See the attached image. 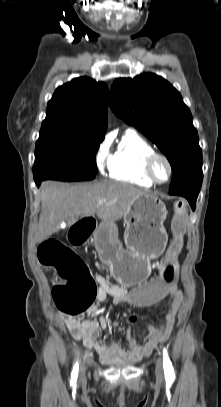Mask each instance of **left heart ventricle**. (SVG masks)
<instances>
[{
  "instance_id": "obj_1",
  "label": "left heart ventricle",
  "mask_w": 221,
  "mask_h": 407,
  "mask_svg": "<svg viewBox=\"0 0 221 407\" xmlns=\"http://www.w3.org/2000/svg\"><path fill=\"white\" fill-rule=\"evenodd\" d=\"M154 173L159 181H164L167 179L169 170L165 161L159 159L155 162Z\"/></svg>"
}]
</instances>
